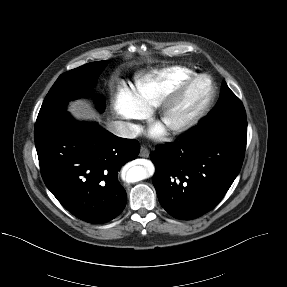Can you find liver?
Wrapping results in <instances>:
<instances>
[{"instance_id": "liver-1", "label": "liver", "mask_w": 287, "mask_h": 287, "mask_svg": "<svg viewBox=\"0 0 287 287\" xmlns=\"http://www.w3.org/2000/svg\"><path fill=\"white\" fill-rule=\"evenodd\" d=\"M69 111L77 119H92L96 117L95 112L91 110L88 104L82 100L71 103ZM110 124L111 123H109L108 127Z\"/></svg>"}]
</instances>
